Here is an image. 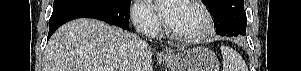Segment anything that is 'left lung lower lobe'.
I'll use <instances>...</instances> for the list:
<instances>
[{
    "mask_svg": "<svg viewBox=\"0 0 301 71\" xmlns=\"http://www.w3.org/2000/svg\"><path fill=\"white\" fill-rule=\"evenodd\" d=\"M220 36L246 35L247 18L244 7L227 6L213 17Z\"/></svg>",
    "mask_w": 301,
    "mask_h": 71,
    "instance_id": "left-lung-lower-lobe-1",
    "label": "left lung lower lobe"
}]
</instances>
